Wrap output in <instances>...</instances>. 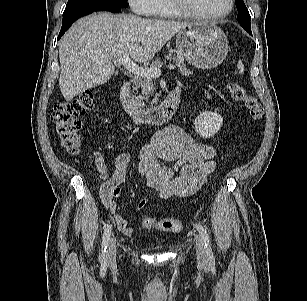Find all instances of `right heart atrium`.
Masks as SVG:
<instances>
[{
    "mask_svg": "<svg viewBox=\"0 0 307 301\" xmlns=\"http://www.w3.org/2000/svg\"><path fill=\"white\" fill-rule=\"evenodd\" d=\"M132 10L142 16L155 17L160 14L162 0H127Z\"/></svg>",
    "mask_w": 307,
    "mask_h": 301,
    "instance_id": "1",
    "label": "right heart atrium"
}]
</instances>
